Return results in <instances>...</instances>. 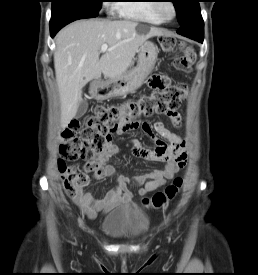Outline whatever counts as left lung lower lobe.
<instances>
[{
    "label": "left lung lower lobe",
    "mask_w": 258,
    "mask_h": 275,
    "mask_svg": "<svg viewBox=\"0 0 258 275\" xmlns=\"http://www.w3.org/2000/svg\"><path fill=\"white\" fill-rule=\"evenodd\" d=\"M178 34L203 43L204 39V22L201 17L200 7L198 6L192 12L190 21L181 26L177 31Z\"/></svg>",
    "instance_id": "1"
}]
</instances>
